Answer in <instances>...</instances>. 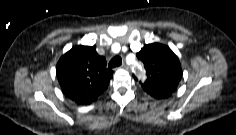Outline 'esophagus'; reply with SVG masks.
I'll return each mask as SVG.
<instances>
[{
  "mask_svg": "<svg viewBox=\"0 0 236 135\" xmlns=\"http://www.w3.org/2000/svg\"><path fill=\"white\" fill-rule=\"evenodd\" d=\"M121 68H123L124 70H128V69H129V67H128L127 64H123V65L121 66Z\"/></svg>",
  "mask_w": 236,
  "mask_h": 135,
  "instance_id": "34e87169",
  "label": "esophagus"
}]
</instances>
